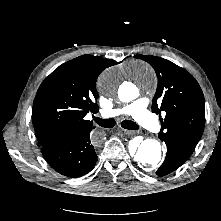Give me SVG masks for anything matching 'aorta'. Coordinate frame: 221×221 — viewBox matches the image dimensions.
<instances>
[{"label": "aorta", "mask_w": 221, "mask_h": 221, "mask_svg": "<svg viewBox=\"0 0 221 221\" xmlns=\"http://www.w3.org/2000/svg\"><path fill=\"white\" fill-rule=\"evenodd\" d=\"M138 67L153 75L152 70L146 64H139ZM100 87L103 93L111 96L116 87V75L114 73H106L101 77ZM119 99L123 102H129L137 97V91H118ZM132 156L136 163L142 167H156L159 165L162 158V148L158 141L144 140L138 148L134 149Z\"/></svg>", "instance_id": "1"}]
</instances>
